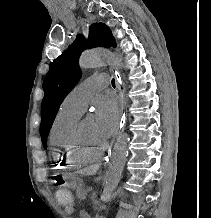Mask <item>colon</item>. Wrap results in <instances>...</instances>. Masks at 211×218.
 Here are the masks:
<instances>
[{
    "instance_id": "obj_1",
    "label": "colon",
    "mask_w": 211,
    "mask_h": 218,
    "mask_svg": "<svg viewBox=\"0 0 211 218\" xmlns=\"http://www.w3.org/2000/svg\"><path fill=\"white\" fill-rule=\"evenodd\" d=\"M55 198L58 204L62 206H70L74 201L71 190L64 184L57 187L55 191Z\"/></svg>"
}]
</instances>
